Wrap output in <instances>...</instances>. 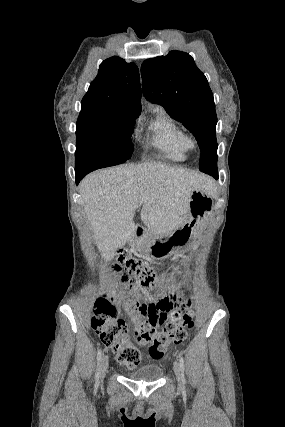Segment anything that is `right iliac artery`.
Instances as JSON below:
<instances>
[{"instance_id":"right-iliac-artery-1","label":"right iliac artery","mask_w":285,"mask_h":427,"mask_svg":"<svg viewBox=\"0 0 285 427\" xmlns=\"http://www.w3.org/2000/svg\"><path fill=\"white\" fill-rule=\"evenodd\" d=\"M101 357H102V350L99 349L98 352H97V366H98V368H97V372L95 374L96 385H98V379H99V374H100Z\"/></svg>"}]
</instances>
